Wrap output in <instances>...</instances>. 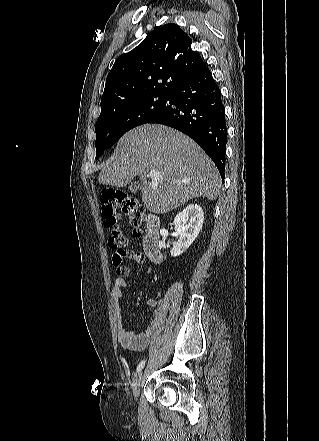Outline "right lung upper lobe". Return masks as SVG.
Wrapping results in <instances>:
<instances>
[{
	"instance_id": "cb5924a9",
	"label": "right lung upper lobe",
	"mask_w": 319,
	"mask_h": 441,
	"mask_svg": "<svg viewBox=\"0 0 319 441\" xmlns=\"http://www.w3.org/2000/svg\"><path fill=\"white\" fill-rule=\"evenodd\" d=\"M191 46V38L176 24L154 29L115 61L107 76L101 111L147 96H169L184 79L205 66Z\"/></svg>"
}]
</instances>
